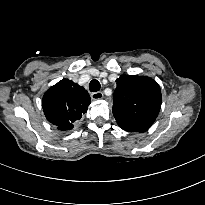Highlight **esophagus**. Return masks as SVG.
<instances>
[{
  "label": "esophagus",
  "instance_id": "esophagus-1",
  "mask_svg": "<svg viewBox=\"0 0 205 205\" xmlns=\"http://www.w3.org/2000/svg\"><path fill=\"white\" fill-rule=\"evenodd\" d=\"M91 98L93 100H99V99H102L103 98V93L98 91V92H94L91 94Z\"/></svg>",
  "mask_w": 205,
  "mask_h": 205
}]
</instances>
